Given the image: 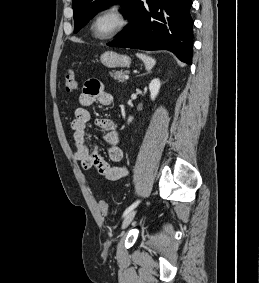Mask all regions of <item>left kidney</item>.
Returning a JSON list of instances; mask_svg holds the SVG:
<instances>
[{"label": "left kidney", "instance_id": "left-kidney-1", "mask_svg": "<svg viewBox=\"0 0 259 283\" xmlns=\"http://www.w3.org/2000/svg\"><path fill=\"white\" fill-rule=\"evenodd\" d=\"M161 87V82L158 78L153 79L149 84L151 100H155L156 96L159 93ZM133 117H129L128 122H131Z\"/></svg>", "mask_w": 259, "mask_h": 283}]
</instances>
